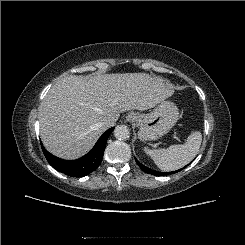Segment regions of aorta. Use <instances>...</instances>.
I'll return each mask as SVG.
<instances>
[{"mask_svg":"<svg viewBox=\"0 0 245 245\" xmlns=\"http://www.w3.org/2000/svg\"><path fill=\"white\" fill-rule=\"evenodd\" d=\"M114 136L118 140H126L130 137L129 128L125 125H118L114 129Z\"/></svg>","mask_w":245,"mask_h":245,"instance_id":"aorta-1","label":"aorta"}]
</instances>
